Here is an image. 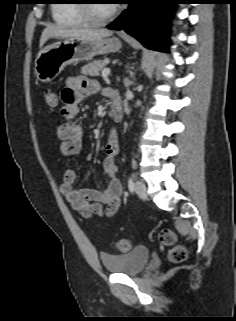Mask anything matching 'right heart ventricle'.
Masks as SVG:
<instances>
[{"instance_id": "obj_1", "label": "right heart ventricle", "mask_w": 236, "mask_h": 321, "mask_svg": "<svg viewBox=\"0 0 236 321\" xmlns=\"http://www.w3.org/2000/svg\"><path fill=\"white\" fill-rule=\"evenodd\" d=\"M80 0H59L52 6V18L60 26L84 25L87 21L80 10Z\"/></svg>"}]
</instances>
